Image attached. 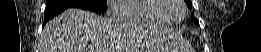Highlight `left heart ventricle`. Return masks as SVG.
<instances>
[{
  "mask_svg": "<svg viewBox=\"0 0 261 52\" xmlns=\"http://www.w3.org/2000/svg\"><path fill=\"white\" fill-rule=\"evenodd\" d=\"M182 14V9L179 6H175L172 10L168 11L166 16L170 20H178L182 17Z\"/></svg>",
  "mask_w": 261,
  "mask_h": 52,
  "instance_id": "1",
  "label": "left heart ventricle"
}]
</instances>
